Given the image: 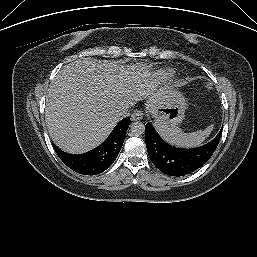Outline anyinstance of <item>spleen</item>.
<instances>
[{
  "label": "spleen",
  "instance_id": "3e777b00",
  "mask_svg": "<svg viewBox=\"0 0 257 257\" xmlns=\"http://www.w3.org/2000/svg\"><path fill=\"white\" fill-rule=\"evenodd\" d=\"M155 126L164 141L171 145L187 148L199 146L213 130V125H209L205 130H199L191 133H184L176 126Z\"/></svg>",
  "mask_w": 257,
  "mask_h": 257
}]
</instances>
